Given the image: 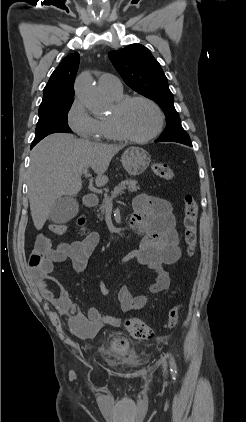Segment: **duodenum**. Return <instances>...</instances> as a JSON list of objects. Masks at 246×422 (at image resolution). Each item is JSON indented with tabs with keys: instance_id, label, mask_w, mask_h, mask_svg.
I'll list each match as a JSON object with an SVG mask.
<instances>
[{
	"instance_id": "obj_1",
	"label": "duodenum",
	"mask_w": 246,
	"mask_h": 422,
	"mask_svg": "<svg viewBox=\"0 0 246 422\" xmlns=\"http://www.w3.org/2000/svg\"><path fill=\"white\" fill-rule=\"evenodd\" d=\"M83 203H84L85 207H87V208H92V207L96 206V204H97V199H96V197H95V196H93V195H87V196H85V197H84V199H83ZM84 222H85V218H84V217H81V218L79 219V224H80V225H83V224H84ZM139 230H140L139 223H138V221H137V220L133 217V218L129 221V223H128V225H127V228H126V231H125V232H123L122 234H120L119 236H116V237H115V240H116V241L130 240V239H132L134 236H136V235H138V234H139Z\"/></svg>"
}]
</instances>
